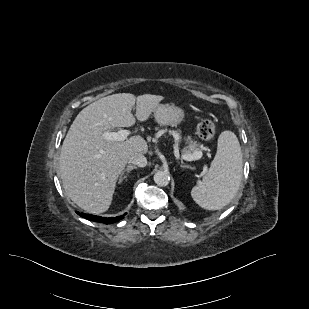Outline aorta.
Returning <instances> with one entry per match:
<instances>
[{
	"label": "aorta",
	"mask_w": 309,
	"mask_h": 309,
	"mask_svg": "<svg viewBox=\"0 0 309 309\" xmlns=\"http://www.w3.org/2000/svg\"><path fill=\"white\" fill-rule=\"evenodd\" d=\"M170 181V176L166 171H157L154 175V182L158 186H167Z\"/></svg>",
	"instance_id": "762f6f07"
}]
</instances>
